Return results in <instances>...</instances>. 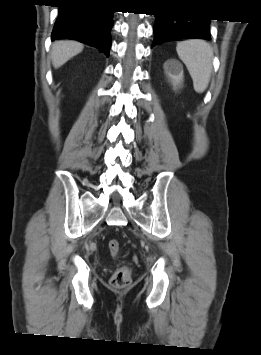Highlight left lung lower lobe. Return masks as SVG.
I'll list each match as a JSON object with an SVG mask.
<instances>
[{"mask_svg":"<svg viewBox=\"0 0 261 355\" xmlns=\"http://www.w3.org/2000/svg\"><path fill=\"white\" fill-rule=\"evenodd\" d=\"M153 45L179 39H211L210 19L155 15Z\"/></svg>","mask_w":261,"mask_h":355,"instance_id":"1","label":"left lung lower lobe"}]
</instances>
